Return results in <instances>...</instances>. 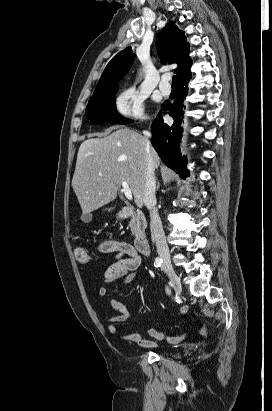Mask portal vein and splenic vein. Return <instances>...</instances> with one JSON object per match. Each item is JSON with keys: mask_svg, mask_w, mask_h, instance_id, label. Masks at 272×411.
<instances>
[{"mask_svg": "<svg viewBox=\"0 0 272 411\" xmlns=\"http://www.w3.org/2000/svg\"><path fill=\"white\" fill-rule=\"evenodd\" d=\"M122 191H123L125 197L128 200H132V192H131L130 187H129V185L126 181L122 182Z\"/></svg>", "mask_w": 272, "mask_h": 411, "instance_id": "1", "label": "portal vein and splenic vein"}]
</instances>
